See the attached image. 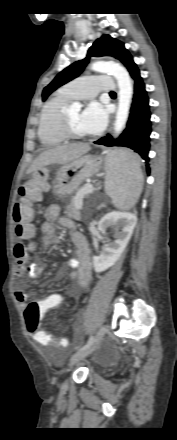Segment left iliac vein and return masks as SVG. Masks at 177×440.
I'll return each instance as SVG.
<instances>
[{
  "mask_svg": "<svg viewBox=\"0 0 177 440\" xmlns=\"http://www.w3.org/2000/svg\"><path fill=\"white\" fill-rule=\"evenodd\" d=\"M106 332V325H102L98 332L96 333V336L92 342V344L90 346H88L87 348L78 351L77 353H75L71 359H70V366L74 365L75 363H77L78 361L84 359L85 357H87L88 355H90L100 344L101 340L103 339L104 335ZM66 386V384H65Z\"/></svg>",
  "mask_w": 177,
  "mask_h": 440,
  "instance_id": "4c4485c4",
  "label": "left iliac vein"
}]
</instances>
